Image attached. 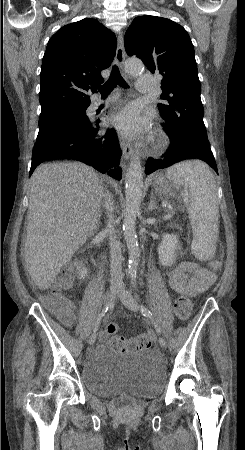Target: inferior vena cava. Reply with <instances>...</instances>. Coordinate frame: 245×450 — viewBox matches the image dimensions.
Returning a JSON list of instances; mask_svg holds the SVG:
<instances>
[{
	"instance_id": "inferior-vena-cava-1",
	"label": "inferior vena cava",
	"mask_w": 245,
	"mask_h": 450,
	"mask_svg": "<svg viewBox=\"0 0 245 450\" xmlns=\"http://www.w3.org/2000/svg\"><path fill=\"white\" fill-rule=\"evenodd\" d=\"M105 207L107 209L108 216V224L106 232L110 237V253H111V265H110V274H111V284L123 285V274H122V260L123 256L121 253L120 242L117 240L115 235V230L113 227L114 216L112 215L113 211V201L110 194L106 195Z\"/></svg>"
}]
</instances>
